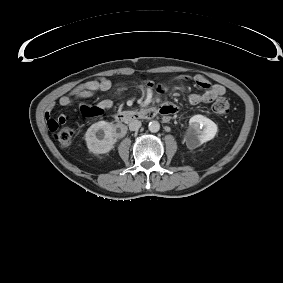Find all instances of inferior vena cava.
<instances>
[{
    "label": "inferior vena cava",
    "instance_id": "obj_1",
    "mask_svg": "<svg viewBox=\"0 0 283 283\" xmlns=\"http://www.w3.org/2000/svg\"><path fill=\"white\" fill-rule=\"evenodd\" d=\"M142 123L139 120H133L129 123V130L130 131H137L141 127Z\"/></svg>",
    "mask_w": 283,
    "mask_h": 283
}]
</instances>
